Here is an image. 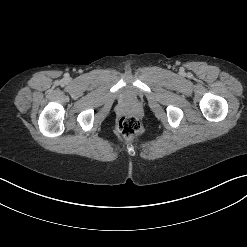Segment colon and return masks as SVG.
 Returning <instances> with one entry per match:
<instances>
[{"mask_svg": "<svg viewBox=\"0 0 247 247\" xmlns=\"http://www.w3.org/2000/svg\"><path fill=\"white\" fill-rule=\"evenodd\" d=\"M117 131L124 139H132L140 133L141 123L133 114H126L119 119Z\"/></svg>", "mask_w": 247, "mask_h": 247, "instance_id": "5ec220e1", "label": "colon"}]
</instances>
